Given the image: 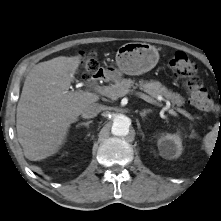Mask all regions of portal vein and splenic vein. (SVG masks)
<instances>
[{"label":"portal vein and splenic vein","instance_id":"1","mask_svg":"<svg viewBox=\"0 0 221 221\" xmlns=\"http://www.w3.org/2000/svg\"><path fill=\"white\" fill-rule=\"evenodd\" d=\"M96 91L99 92L100 94L104 95V96H107V97H110V98H117V95L116 94H113L111 88L109 86H105V87H101V86H98L96 87ZM131 90H123L121 91L120 93V97L121 96H125L126 94L130 93ZM136 95L143 99L144 101L150 103V104H153V105H157V106H161L156 100L152 99L150 96L142 93V92H136ZM158 100H161V97L158 96ZM163 111H168L171 115H174V116H177V113L176 111H174L172 108H170L169 105H166L163 107ZM177 111L181 114H183L184 116H186L187 118L189 119H192V116L185 110L183 109H177Z\"/></svg>","mask_w":221,"mask_h":221}]
</instances>
